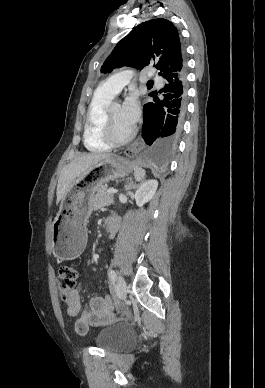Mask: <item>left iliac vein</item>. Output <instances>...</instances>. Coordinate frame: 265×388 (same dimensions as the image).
I'll return each instance as SVG.
<instances>
[{
  "mask_svg": "<svg viewBox=\"0 0 265 388\" xmlns=\"http://www.w3.org/2000/svg\"><path fill=\"white\" fill-rule=\"evenodd\" d=\"M117 289L121 298L126 299L128 291L127 284L121 276H119L117 280Z\"/></svg>",
  "mask_w": 265,
  "mask_h": 388,
  "instance_id": "4c4485c4",
  "label": "left iliac vein"
}]
</instances>
